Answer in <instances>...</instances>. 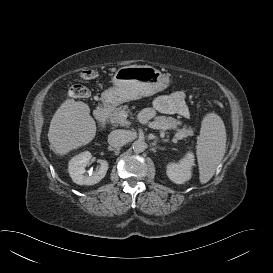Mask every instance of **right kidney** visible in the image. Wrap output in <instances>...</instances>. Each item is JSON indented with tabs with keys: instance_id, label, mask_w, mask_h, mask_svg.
Wrapping results in <instances>:
<instances>
[{
	"instance_id": "right-kidney-1",
	"label": "right kidney",
	"mask_w": 273,
	"mask_h": 273,
	"mask_svg": "<svg viewBox=\"0 0 273 273\" xmlns=\"http://www.w3.org/2000/svg\"><path fill=\"white\" fill-rule=\"evenodd\" d=\"M92 155L90 152L85 151L76 156H74L69 161L68 171L73 182L78 185H94L101 181L107 173L108 162L106 160H100V168L96 172H90L85 174L86 166L91 160Z\"/></svg>"
}]
</instances>
